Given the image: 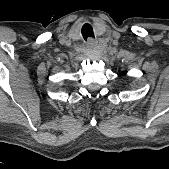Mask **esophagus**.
I'll return each instance as SVG.
<instances>
[{"mask_svg": "<svg viewBox=\"0 0 169 169\" xmlns=\"http://www.w3.org/2000/svg\"><path fill=\"white\" fill-rule=\"evenodd\" d=\"M95 44H96L95 39H93V38H89V39H88V41H87L88 47H92V46H94Z\"/></svg>", "mask_w": 169, "mask_h": 169, "instance_id": "obj_1", "label": "esophagus"}]
</instances>
